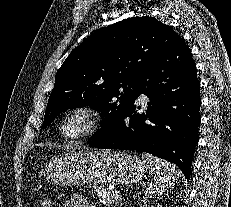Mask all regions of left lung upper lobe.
<instances>
[{
    "label": "left lung upper lobe",
    "mask_w": 231,
    "mask_h": 207,
    "mask_svg": "<svg viewBox=\"0 0 231 207\" xmlns=\"http://www.w3.org/2000/svg\"><path fill=\"white\" fill-rule=\"evenodd\" d=\"M179 37L149 16L125 19L88 36L57 71L41 129L62 111L90 106L103 119L89 141L114 133L138 96V80L147 65Z\"/></svg>",
    "instance_id": "5c2ea615"
}]
</instances>
